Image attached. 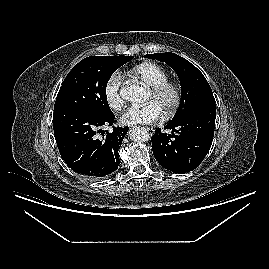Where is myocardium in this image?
Listing matches in <instances>:
<instances>
[{
  "label": "myocardium",
  "mask_w": 269,
  "mask_h": 269,
  "mask_svg": "<svg viewBox=\"0 0 269 269\" xmlns=\"http://www.w3.org/2000/svg\"><path fill=\"white\" fill-rule=\"evenodd\" d=\"M167 91L173 94V99L169 107L163 112L165 118L172 117L181 105L183 92L180 84L173 80H164L151 87V93L154 97H160Z\"/></svg>",
  "instance_id": "1"
}]
</instances>
